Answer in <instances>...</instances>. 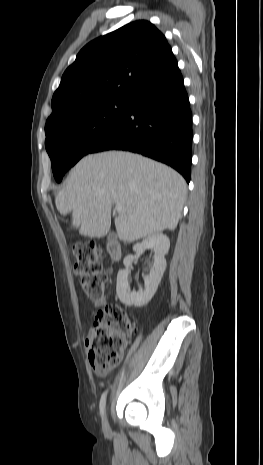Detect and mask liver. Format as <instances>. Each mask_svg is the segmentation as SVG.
<instances>
[{"mask_svg": "<svg viewBox=\"0 0 263 465\" xmlns=\"http://www.w3.org/2000/svg\"><path fill=\"white\" fill-rule=\"evenodd\" d=\"M183 177L170 167L130 152L87 155L70 171L55 198L63 216L84 236L103 237L111 226L114 203L124 205L115 218L120 240H135L174 230L186 198Z\"/></svg>", "mask_w": 263, "mask_h": 465, "instance_id": "liver-1", "label": "liver"}]
</instances>
